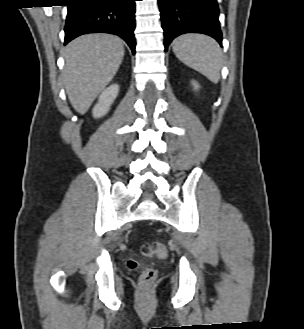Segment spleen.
Wrapping results in <instances>:
<instances>
[{
    "label": "spleen",
    "instance_id": "obj_1",
    "mask_svg": "<svg viewBox=\"0 0 304 329\" xmlns=\"http://www.w3.org/2000/svg\"><path fill=\"white\" fill-rule=\"evenodd\" d=\"M173 52L180 61L200 72L213 83L219 81L222 51L211 37L201 34L181 35L173 42Z\"/></svg>",
    "mask_w": 304,
    "mask_h": 329
}]
</instances>
